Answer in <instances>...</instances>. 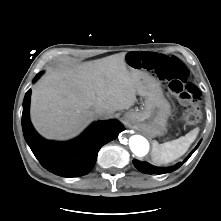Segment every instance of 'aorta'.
Here are the masks:
<instances>
[{
    "label": "aorta",
    "instance_id": "obj_1",
    "mask_svg": "<svg viewBox=\"0 0 221 221\" xmlns=\"http://www.w3.org/2000/svg\"><path fill=\"white\" fill-rule=\"evenodd\" d=\"M129 147L131 151L139 157L145 156L149 151V143L141 135H132L129 138Z\"/></svg>",
    "mask_w": 221,
    "mask_h": 221
}]
</instances>
